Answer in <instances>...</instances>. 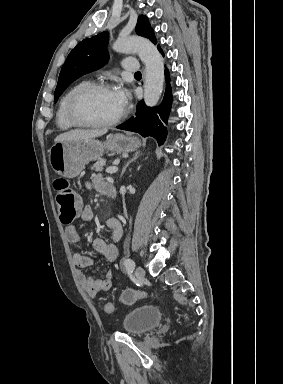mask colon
Masks as SVG:
<instances>
[{"label":"colon","instance_id":"obj_1","mask_svg":"<svg viewBox=\"0 0 283 384\" xmlns=\"http://www.w3.org/2000/svg\"><path fill=\"white\" fill-rule=\"evenodd\" d=\"M54 188L60 219L64 224H69L78 216V197L65 179H56L54 181ZM148 296L146 292L141 290H125L121 293L119 299L124 304H132ZM103 308L106 313H112L114 311V305L110 302L105 303Z\"/></svg>","mask_w":283,"mask_h":384}]
</instances>
